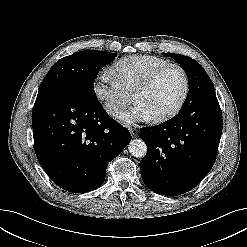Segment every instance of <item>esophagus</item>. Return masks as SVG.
Here are the masks:
<instances>
[{
    "instance_id": "esophagus-1",
    "label": "esophagus",
    "mask_w": 247,
    "mask_h": 247,
    "mask_svg": "<svg viewBox=\"0 0 247 247\" xmlns=\"http://www.w3.org/2000/svg\"><path fill=\"white\" fill-rule=\"evenodd\" d=\"M129 130L133 137L138 135V130L136 128H130Z\"/></svg>"
}]
</instances>
